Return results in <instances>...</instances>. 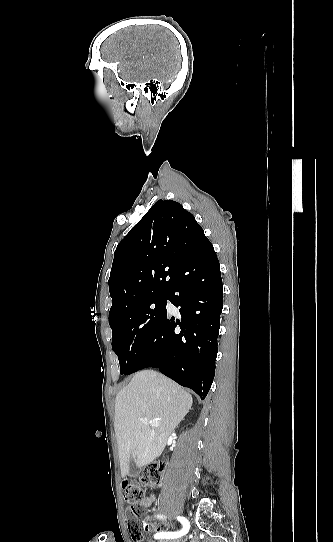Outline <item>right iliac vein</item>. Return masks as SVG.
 Instances as JSON below:
<instances>
[{
  "instance_id": "right-iliac-vein-1",
  "label": "right iliac vein",
  "mask_w": 333,
  "mask_h": 542,
  "mask_svg": "<svg viewBox=\"0 0 333 542\" xmlns=\"http://www.w3.org/2000/svg\"><path fill=\"white\" fill-rule=\"evenodd\" d=\"M163 542H179V540H170V541H163Z\"/></svg>"
}]
</instances>
